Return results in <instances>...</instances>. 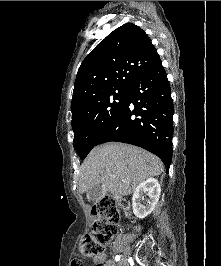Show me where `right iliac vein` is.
<instances>
[{
	"label": "right iliac vein",
	"mask_w": 221,
	"mask_h": 266,
	"mask_svg": "<svg viewBox=\"0 0 221 266\" xmlns=\"http://www.w3.org/2000/svg\"><path fill=\"white\" fill-rule=\"evenodd\" d=\"M130 254V250L129 249H126L122 255V258L118 264V266H125L126 263H127V257L129 256Z\"/></svg>",
	"instance_id": "1"
}]
</instances>
